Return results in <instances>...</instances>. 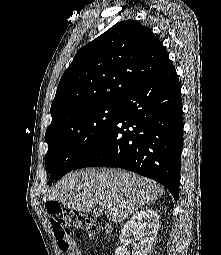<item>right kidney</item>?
Segmentation results:
<instances>
[{
  "mask_svg": "<svg viewBox=\"0 0 221 255\" xmlns=\"http://www.w3.org/2000/svg\"><path fill=\"white\" fill-rule=\"evenodd\" d=\"M159 229V215L151 209H143L134 214L121 229L119 236L121 246L115 250V255L127 254V245L132 242V236L138 242L134 245L132 255H148Z\"/></svg>",
  "mask_w": 221,
  "mask_h": 255,
  "instance_id": "1",
  "label": "right kidney"
}]
</instances>
